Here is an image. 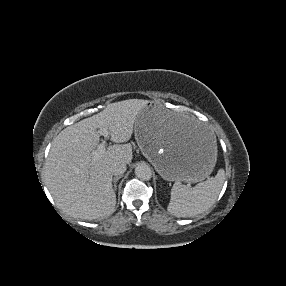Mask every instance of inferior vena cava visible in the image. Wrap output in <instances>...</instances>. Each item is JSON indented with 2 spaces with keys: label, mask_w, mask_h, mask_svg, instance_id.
I'll return each mask as SVG.
<instances>
[{
  "label": "inferior vena cava",
  "mask_w": 286,
  "mask_h": 286,
  "mask_svg": "<svg viewBox=\"0 0 286 286\" xmlns=\"http://www.w3.org/2000/svg\"><path fill=\"white\" fill-rule=\"evenodd\" d=\"M126 171V164L121 161H117L111 164L110 172L112 175L118 176Z\"/></svg>",
  "instance_id": "602c4592"
}]
</instances>
